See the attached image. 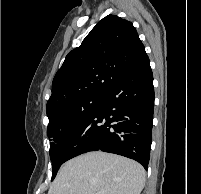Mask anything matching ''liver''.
Segmentation results:
<instances>
[{
	"mask_svg": "<svg viewBox=\"0 0 201 194\" xmlns=\"http://www.w3.org/2000/svg\"><path fill=\"white\" fill-rule=\"evenodd\" d=\"M145 170L136 161L101 151L67 161L48 194H140Z\"/></svg>",
	"mask_w": 201,
	"mask_h": 194,
	"instance_id": "6515ba94",
	"label": "liver"
}]
</instances>
